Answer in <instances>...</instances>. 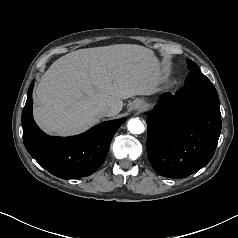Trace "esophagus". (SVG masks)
<instances>
[{"mask_svg":"<svg viewBox=\"0 0 238 238\" xmlns=\"http://www.w3.org/2000/svg\"><path fill=\"white\" fill-rule=\"evenodd\" d=\"M142 110L141 105H136L135 106V111L140 112Z\"/></svg>","mask_w":238,"mask_h":238,"instance_id":"esophagus-1","label":"esophagus"}]
</instances>
